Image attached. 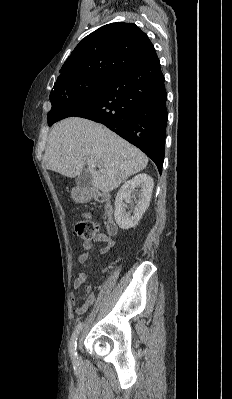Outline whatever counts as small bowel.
Segmentation results:
<instances>
[{"label": "small bowel", "mask_w": 232, "mask_h": 399, "mask_svg": "<svg viewBox=\"0 0 232 399\" xmlns=\"http://www.w3.org/2000/svg\"><path fill=\"white\" fill-rule=\"evenodd\" d=\"M113 243L112 242H107L103 247L100 248L99 254L100 255H105L109 251V249L112 247ZM93 248V243L90 241H85L82 244V252L79 255V262L80 263H85L89 257V253L91 252ZM87 279V273L85 271H79L77 278L73 281V290L74 292L70 295V306L73 308L74 312L76 314H83L89 306L93 303V296H92V290L93 287L91 284H88L86 286V292L87 296L83 302L82 305L76 307L78 298H79V288L81 287L82 283L85 282Z\"/></svg>", "instance_id": "c3829d8e"}]
</instances>
